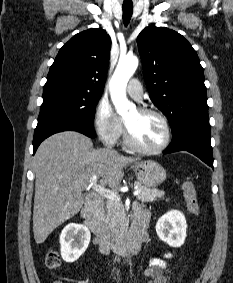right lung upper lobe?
<instances>
[{"label": "right lung upper lobe", "mask_w": 233, "mask_h": 283, "mask_svg": "<svg viewBox=\"0 0 233 283\" xmlns=\"http://www.w3.org/2000/svg\"><path fill=\"white\" fill-rule=\"evenodd\" d=\"M111 50L105 30L90 28L74 35L58 52L45 85L60 84L103 92Z\"/></svg>", "instance_id": "cb5924a9"}]
</instances>
